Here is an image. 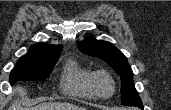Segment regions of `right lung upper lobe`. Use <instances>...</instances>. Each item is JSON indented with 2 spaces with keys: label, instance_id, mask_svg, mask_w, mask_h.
<instances>
[{
  "label": "right lung upper lobe",
  "instance_id": "1",
  "mask_svg": "<svg viewBox=\"0 0 171 110\" xmlns=\"http://www.w3.org/2000/svg\"><path fill=\"white\" fill-rule=\"evenodd\" d=\"M62 50L61 45H50L45 43H37L30 47L29 52L24 57L34 58H52L60 56Z\"/></svg>",
  "mask_w": 171,
  "mask_h": 110
}]
</instances>
